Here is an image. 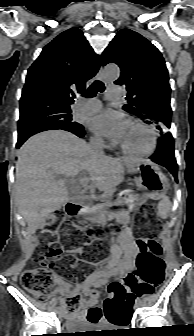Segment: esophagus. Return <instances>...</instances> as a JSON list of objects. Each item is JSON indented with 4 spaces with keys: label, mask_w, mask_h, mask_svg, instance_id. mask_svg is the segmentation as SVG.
I'll return each instance as SVG.
<instances>
[{
    "label": "esophagus",
    "mask_w": 194,
    "mask_h": 336,
    "mask_svg": "<svg viewBox=\"0 0 194 336\" xmlns=\"http://www.w3.org/2000/svg\"><path fill=\"white\" fill-rule=\"evenodd\" d=\"M97 76L100 80H103L104 81V78H103V74H102V67H100L98 73H97Z\"/></svg>",
    "instance_id": "esophagus-1"
}]
</instances>
